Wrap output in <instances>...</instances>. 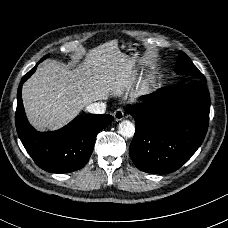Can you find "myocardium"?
I'll return each instance as SVG.
<instances>
[{"label":"myocardium","instance_id":"myocardium-1","mask_svg":"<svg viewBox=\"0 0 228 228\" xmlns=\"http://www.w3.org/2000/svg\"><path fill=\"white\" fill-rule=\"evenodd\" d=\"M150 94H151V91L148 90V91L146 92V95L149 96Z\"/></svg>","mask_w":228,"mask_h":228}]
</instances>
